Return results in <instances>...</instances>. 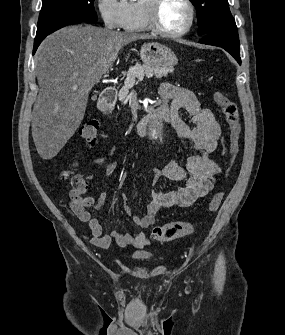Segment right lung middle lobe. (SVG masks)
I'll return each mask as SVG.
<instances>
[{"label":"right lung middle lobe","mask_w":285,"mask_h":335,"mask_svg":"<svg viewBox=\"0 0 285 335\" xmlns=\"http://www.w3.org/2000/svg\"><path fill=\"white\" fill-rule=\"evenodd\" d=\"M93 2L94 0H43L37 31L66 19L96 22Z\"/></svg>","instance_id":"dd1d6c3e"}]
</instances>
